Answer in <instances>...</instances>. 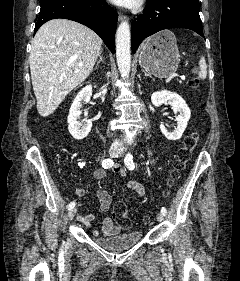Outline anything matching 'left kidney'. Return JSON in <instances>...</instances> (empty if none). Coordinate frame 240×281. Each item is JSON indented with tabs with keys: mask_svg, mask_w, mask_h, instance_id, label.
Masks as SVG:
<instances>
[{
	"mask_svg": "<svg viewBox=\"0 0 240 281\" xmlns=\"http://www.w3.org/2000/svg\"><path fill=\"white\" fill-rule=\"evenodd\" d=\"M151 101L156 107L168 102L172 106L173 111L179 113L178 116H176L177 127L174 131L169 132L163 124L160 125V130L168 140L180 139L191 116V111L184 99L177 93L162 90L154 92L151 96Z\"/></svg>",
	"mask_w": 240,
	"mask_h": 281,
	"instance_id": "1",
	"label": "left kidney"
}]
</instances>
